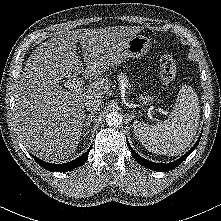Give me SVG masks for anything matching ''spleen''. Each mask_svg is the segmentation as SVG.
Instances as JSON below:
<instances>
[{"mask_svg":"<svg viewBox=\"0 0 221 221\" xmlns=\"http://www.w3.org/2000/svg\"><path fill=\"white\" fill-rule=\"evenodd\" d=\"M200 119L198 96L191 86L183 85L167 120L148 125L135 121L134 132L149 151L174 156L181 154L192 142Z\"/></svg>","mask_w":221,"mask_h":221,"instance_id":"3e777b00","label":"spleen"}]
</instances>
